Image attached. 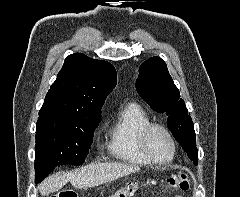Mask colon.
Listing matches in <instances>:
<instances>
[{"instance_id": "5ec220e1", "label": "colon", "mask_w": 240, "mask_h": 197, "mask_svg": "<svg viewBox=\"0 0 240 197\" xmlns=\"http://www.w3.org/2000/svg\"><path fill=\"white\" fill-rule=\"evenodd\" d=\"M159 186L165 191H187L190 187L186 174L181 176H169L159 182ZM140 188L139 182H129L125 186L117 189L115 192L108 195V197H133V195ZM50 197H78L73 190H63Z\"/></svg>"}]
</instances>
